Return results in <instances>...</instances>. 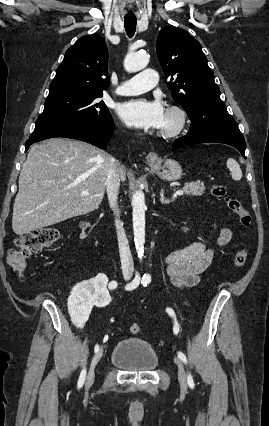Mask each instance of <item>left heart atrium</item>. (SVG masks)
<instances>
[{
	"label": "left heart atrium",
	"instance_id": "39dd6f15",
	"mask_svg": "<svg viewBox=\"0 0 269 426\" xmlns=\"http://www.w3.org/2000/svg\"><path fill=\"white\" fill-rule=\"evenodd\" d=\"M120 119L138 129L161 128L166 117L165 109L158 100L146 98L131 99L118 107Z\"/></svg>",
	"mask_w": 269,
	"mask_h": 426
}]
</instances>
